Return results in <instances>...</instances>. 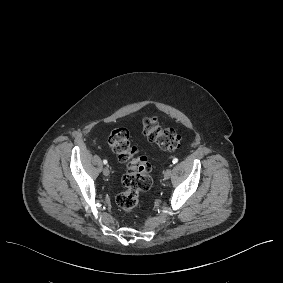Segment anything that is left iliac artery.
<instances>
[{"label":"left iliac artery","mask_w":283,"mask_h":283,"mask_svg":"<svg viewBox=\"0 0 283 283\" xmlns=\"http://www.w3.org/2000/svg\"><path fill=\"white\" fill-rule=\"evenodd\" d=\"M172 162H173V164H176L178 162V159L174 158Z\"/></svg>","instance_id":"44dca946"}]
</instances>
